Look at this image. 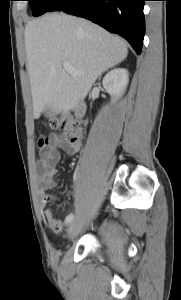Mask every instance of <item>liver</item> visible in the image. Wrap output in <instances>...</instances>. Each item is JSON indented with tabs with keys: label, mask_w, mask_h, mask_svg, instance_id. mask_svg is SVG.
<instances>
[{
	"label": "liver",
	"mask_w": 181,
	"mask_h": 300,
	"mask_svg": "<svg viewBox=\"0 0 181 300\" xmlns=\"http://www.w3.org/2000/svg\"><path fill=\"white\" fill-rule=\"evenodd\" d=\"M34 118L66 113L83 100L102 73L128 54L126 42L102 27L64 13H48L25 27ZM69 62L79 75L64 70Z\"/></svg>",
	"instance_id": "6515ba94"
}]
</instances>
